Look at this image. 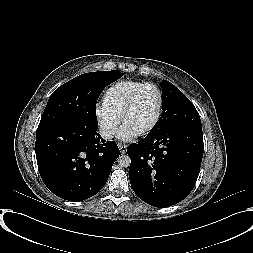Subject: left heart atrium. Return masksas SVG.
I'll return each mask as SVG.
<instances>
[{
	"instance_id": "39dd6f15",
	"label": "left heart atrium",
	"mask_w": 253,
	"mask_h": 253,
	"mask_svg": "<svg viewBox=\"0 0 253 253\" xmlns=\"http://www.w3.org/2000/svg\"><path fill=\"white\" fill-rule=\"evenodd\" d=\"M137 135V132L129 128L127 125H123L119 131V138L123 141L133 139Z\"/></svg>"
}]
</instances>
